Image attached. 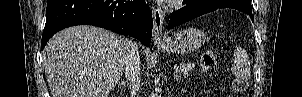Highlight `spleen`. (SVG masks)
<instances>
[{
    "label": "spleen",
    "instance_id": "spleen-1",
    "mask_svg": "<svg viewBox=\"0 0 302 97\" xmlns=\"http://www.w3.org/2000/svg\"><path fill=\"white\" fill-rule=\"evenodd\" d=\"M234 64L231 69L233 74L243 80H249L251 77V68L247 53L239 46L234 51Z\"/></svg>",
    "mask_w": 302,
    "mask_h": 97
}]
</instances>
